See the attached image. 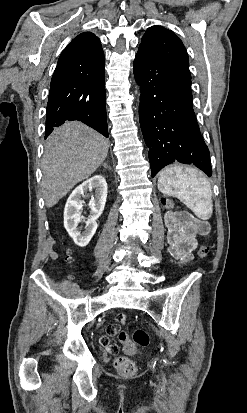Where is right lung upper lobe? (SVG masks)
<instances>
[{"label": "right lung upper lobe", "mask_w": 247, "mask_h": 413, "mask_svg": "<svg viewBox=\"0 0 247 413\" xmlns=\"http://www.w3.org/2000/svg\"><path fill=\"white\" fill-rule=\"evenodd\" d=\"M102 65L105 61L99 38L91 32H84L63 50L55 70L80 72Z\"/></svg>", "instance_id": "cb5924a9"}]
</instances>
